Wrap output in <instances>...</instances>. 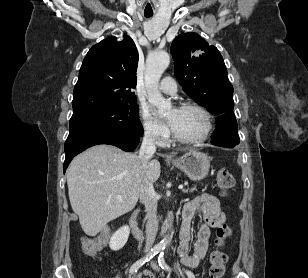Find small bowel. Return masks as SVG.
<instances>
[{"label":"small bowel","mask_w":308,"mask_h":278,"mask_svg":"<svg viewBox=\"0 0 308 278\" xmlns=\"http://www.w3.org/2000/svg\"><path fill=\"white\" fill-rule=\"evenodd\" d=\"M195 216H198L200 220L196 229L194 251L190 255L191 224ZM182 219L177 252L182 265L188 269H193L200 264L207 254L210 229L223 226L226 217L221 210L219 200L215 196L202 194L184 205ZM136 278H153V275L150 271L145 270Z\"/></svg>","instance_id":"small-bowel-1"}]
</instances>
